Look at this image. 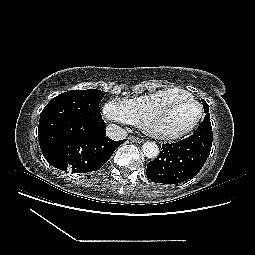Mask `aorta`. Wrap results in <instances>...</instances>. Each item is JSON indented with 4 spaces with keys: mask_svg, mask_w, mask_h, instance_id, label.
<instances>
[{
    "mask_svg": "<svg viewBox=\"0 0 255 255\" xmlns=\"http://www.w3.org/2000/svg\"><path fill=\"white\" fill-rule=\"evenodd\" d=\"M142 151L147 158H156L159 154V147L155 142L147 141L143 144Z\"/></svg>",
    "mask_w": 255,
    "mask_h": 255,
    "instance_id": "1",
    "label": "aorta"
}]
</instances>
